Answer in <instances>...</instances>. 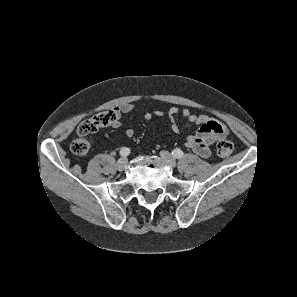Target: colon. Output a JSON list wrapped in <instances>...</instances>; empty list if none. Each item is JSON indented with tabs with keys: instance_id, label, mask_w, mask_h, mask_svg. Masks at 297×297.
I'll return each mask as SVG.
<instances>
[{
	"instance_id": "1",
	"label": "colon",
	"mask_w": 297,
	"mask_h": 297,
	"mask_svg": "<svg viewBox=\"0 0 297 297\" xmlns=\"http://www.w3.org/2000/svg\"><path fill=\"white\" fill-rule=\"evenodd\" d=\"M117 119L116 110H107L81 122L77 128L78 138L71 143L72 153L76 156H85L90 150V143L86 137L100 128L112 125ZM216 150L219 156L227 157L233 151V144L228 140H220L217 143Z\"/></svg>"
}]
</instances>
